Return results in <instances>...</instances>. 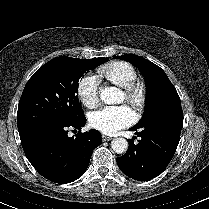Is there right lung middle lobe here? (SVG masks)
<instances>
[{"mask_svg": "<svg viewBox=\"0 0 209 209\" xmlns=\"http://www.w3.org/2000/svg\"><path fill=\"white\" fill-rule=\"evenodd\" d=\"M99 66L91 59L57 57L27 82L18 105L19 135L49 123H65L84 115L77 92L80 78Z\"/></svg>", "mask_w": 209, "mask_h": 209, "instance_id": "right-lung-middle-lobe-1", "label": "right lung middle lobe"}]
</instances>
